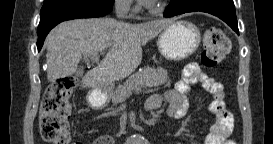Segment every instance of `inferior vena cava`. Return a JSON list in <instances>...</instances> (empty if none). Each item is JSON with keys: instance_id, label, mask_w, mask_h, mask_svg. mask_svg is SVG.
Segmentation results:
<instances>
[{"instance_id": "602c4592", "label": "inferior vena cava", "mask_w": 273, "mask_h": 144, "mask_svg": "<svg viewBox=\"0 0 273 144\" xmlns=\"http://www.w3.org/2000/svg\"><path fill=\"white\" fill-rule=\"evenodd\" d=\"M130 0H117L115 4L116 16L119 19H124L129 11Z\"/></svg>"}]
</instances>
